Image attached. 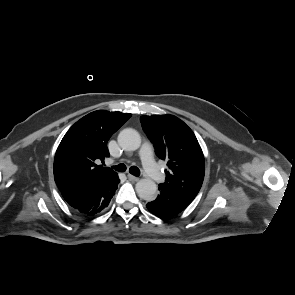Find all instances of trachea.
I'll return each mask as SVG.
<instances>
[{"label":"trachea","instance_id":"3493384b","mask_svg":"<svg viewBox=\"0 0 295 295\" xmlns=\"http://www.w3.org/2000/svg\"><path fill=\"white\" fill-rule=\"evenodd\" d=\"M114 170L118 171V172H125L126 171V166L125 164L121 163L119 165L113 166L112 167ZM129 172L134 175V176H139L140 175V170L139 168H137L136 166H131L129 168Z\"/></svg>","mask_w":295,"mask_h":295}]
</instances>
